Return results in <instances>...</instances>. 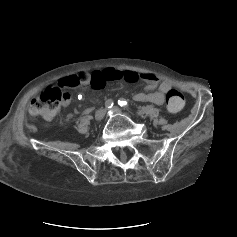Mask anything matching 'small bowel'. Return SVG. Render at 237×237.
I'll return each mask as SVG.
<instances>
[{
    "label": "small bowel",
    "instance_id": "small-bowel-1",
    "mask_svg": "<svg viewBox=\"0 0 237 237\" xmlns=\"http://www.w3.org/2000/svg\"><path fill=\"white\" fill-rule=\"evenodd\" d=\"M94 78H97L98 82H95ZM116 80L128 83L145 82L147 84L146 89L152 92L137 93L134 95V100L137 102H150L156 105H162L164 103L165 96L171 88L168 82L162 81L157 75L151 73L139 74L133 71L108 68L98 73L86 75V84L95 90H100L108 82ZM68 103L69 101L66 100L64 105Z\"/></svg>",
    "mask_w": 237,
    "mask_h": 237
}]
</instances>
